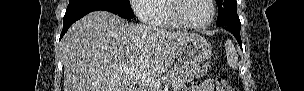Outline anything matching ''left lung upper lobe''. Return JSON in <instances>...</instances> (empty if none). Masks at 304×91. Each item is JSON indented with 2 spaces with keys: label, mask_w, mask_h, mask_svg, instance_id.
Here are the masks:
<instances>
[{
  "label": "left lung upper lobe",
  "mask_w": 304,
  "mask_h": 91,
  "mask_svg": "<svg viewBox=\"0 0 304 91\" xmlns=\"http://www.w3.org/2000/svg\"><path fill=\"white\" fill-rule=\"evenodd\" d=\"M216 3L218 5V26L240 24V20L236 11V0H216Z\"/></svg>",
  "instance_id": "5c2ea615"
}]
</instances>
